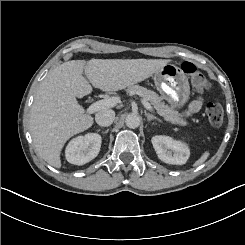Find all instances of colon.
<instances>
[{"mask_svg":"<svg viewBox=\"0 0 245 245\" xmlns=\"http://www.w3.org/2000/svg\"><path fill=\"white\" fill-rule=\"evenodd\" d=\"M181 68L183 72L190 77L192 84L197 90L205 91L209 88V83L205 75L193 63L184 62L181 65ZM206 116L212 126H221L224 120V112L222 106L215 102L207 104Z\"/></svg>","mask_w":245,"mask_h":245,"instance_id":"5ec220e1","label":"colon"}]
</instances>
